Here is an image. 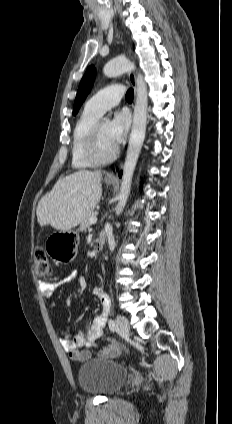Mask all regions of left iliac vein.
I'll use <instances>...</instances> for the list:
<instances>
[{"instance_id":"4c4485c4","label":"left iliac vein","mask_w":232,"mask_h":424,"mask_svg":"<svg viewBox=\"0 0 232 424\" xmlns=\"http://www.w3.org/2000/svg\"><path fill=\"white\" fill-rule=\"evenodd\" d=\"M116 325L119 328L120 332L123 334V336L125 338H128L129 334H130V328H129L128 320L122 315H117Z\"/></svg>"}]
</instances>
